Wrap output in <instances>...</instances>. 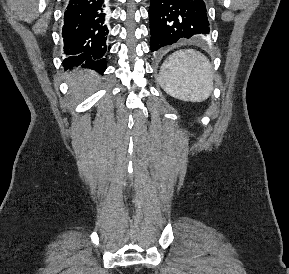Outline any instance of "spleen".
I'll return each mask as SVG.
<instances>
[{"label": "spleen", "mask_w": 289, "mask_h": 274, "mask_svg": "<svg viewBox=\"0 0 289 274\" xmlns=\"http://www.w3.org/2000/svg\"><path fill=\"white\" fill-rule=\"evenodd\" d=\"M159 82L174 98L202 102L213 90V68L202 53L193 49L179 50L162 64Z\"/></svg>", "instance_id": "3e777b00"}]
</instances>
